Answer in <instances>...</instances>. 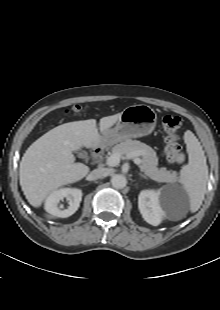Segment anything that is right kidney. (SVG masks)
Returning <instances> with one entry per match:
<instances>
[{"instance_id": "right-kidney-1", "label": "right kidney", "mask_w": 220, "mask_h": 310, "mask_svg": "<svg viewBox=\"0 0 220 310\" xmlns=\"http://www.w3.org/2000/svg\"><path fill=\"white\" fill-rule=\"evenodd\" d=\"M66 198L69 201V207L61 210L59 203ZM82 199V191L76 188H60L51 192L45 200V210L57 217L66 218L74 214Z\"/></svg>"}]
</instances>
